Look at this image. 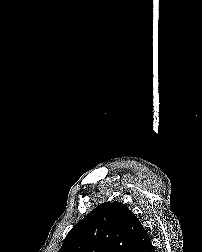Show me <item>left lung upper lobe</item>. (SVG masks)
Listing matches in <instances>:
<instances>
[{
    "label": "left lung upper lobe",
    "mask_w": 202,
    "mask_h": 252,
    "mask_svg": "<svg viewBox=\"0 0 202 252\" xmlns=\"http://www.w3.org/2000/svg\"><path fill=\"white\" fill-rule=\"evenodd\" d=\"M139 219L119 202H105L80 220L58 252H133Z\"/></svg>",
    "instance_id": "1"
}]
</instances>
